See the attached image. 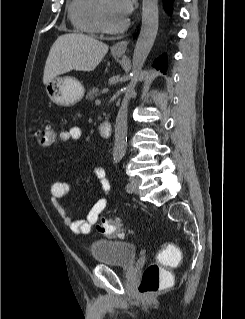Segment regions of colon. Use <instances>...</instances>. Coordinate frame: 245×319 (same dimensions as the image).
<instances>
[{"label": "colon", "mask_w": 245, "mask_h": 319, "mask_svg": "<svg viewBox=\"0 0 245 319\" xmlns=\"http://www.w3.org/2000/svg\"><path fill=\"white\" fill-rule=\"evenodd\" d=\"M35 138L40 146H50L55 141V132L47 127H37ZM97 231L109 237H126L128 230L118 221L112 219H102L97 223ZM182 259V254L178 249L167 246L157 255V262L147 266L144 271L142 281L139 285V292L142 295L151 296L170 284V279L162 264H174Z\"/></svg>", "instance_id": "colon-1"}]
</instances>
